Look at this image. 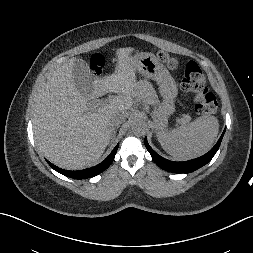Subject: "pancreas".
<instances>
[{
    "instance_id": "pancreas-1",
    "label": "pancreas",
    "mask_w": 253,
    "mask_h": 253,
    "mask_svg": "<svg viewBox=\"0 0 253 253\" xmlns=\"http://www.w3.org/2000/svg\"><path fill=\"white\" fill-rule=\"evenodd\" d=\"M132 85L135 89L144 93V98L147 100V102L152 104L159 103L158 96L150 83L135 82Z\"/></svg>"
}]
</instances>
